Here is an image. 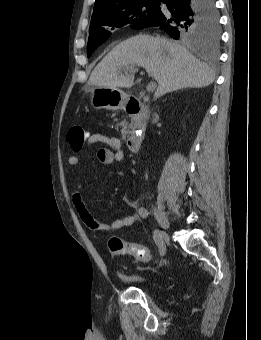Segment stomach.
<instances>
[{
    "label": "stomach",
    "mask_w": 261,
    "mask_h": 340,
    "mask_svg": "<svg viewBox=\"0 0 261 340\" xmlns=\"http://www.w3.org/2000/svg\"><path fill=\"white\" fill-rule=\"evenodd\" d=\"M90 104L95 109L119 110L124 107L127 94L119 88L89 87Z\"/></svg>",
    "instance_id": "stomach-1"
}]
</instances>
